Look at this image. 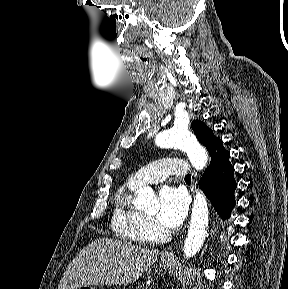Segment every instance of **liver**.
I'll return each instance as SVG.
<instances>
[{
  "mask_svg": "<svg viewBox=\"0 0 288 289\" xmlns=\"http://www.w3.org/2000/svg\"><path fill=\"white\" fill-rule=\"evenodd\" d=\"M157 250L111 238H99L84 247L69 263L58 289L135 282L158 258Z\"/></svg>",
  "mask_w": 288,
  "mask_h": 289,
  "instance_id": "6515ba94",
  "label": "liver"
}]
</instances>
